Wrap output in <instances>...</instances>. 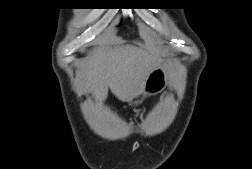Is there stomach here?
<instances>
[{
    "label": "stomach",
    "instance_id": "stomach-1",
    "mask_svg": "<svg viewBox=\"0 0 252 169\" xmlns=\"http://www.w3.org/2000/svg\"><path fill=\"white\" fill-rule=\"evenodd\" d=\"M168 83V74L164 67H156L148 76L143 88L128 101L130 106H136L151 95L163 91Z\"/></svg>",
    "mask_w": 252,
    "mask_h": 169
}]
</instances>
